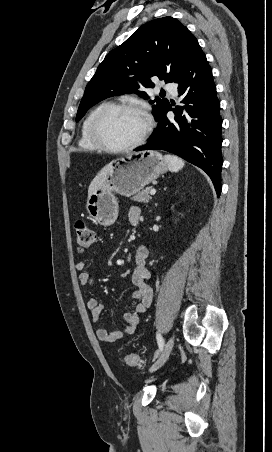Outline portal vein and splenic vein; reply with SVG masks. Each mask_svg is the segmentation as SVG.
I'll return each instance as SVG.
<instances>
[{
    "instance_id": "18ae733b",
    "label": "portal vein and splenic vein",
    "mask_w": 272,
    "mask_h": 452,
    "mask_svg": "<svg viewBox=\"0 0 272 452\" xmlns=\"http://www.w3.org/2000/svg\"><path fill=\"white\" fill-rule=\"evenodd\" d=\"M155 193H156V190H155L154 188L151 189L150 194H151V195H155Z\"/></svg>"
}]
</instances>
